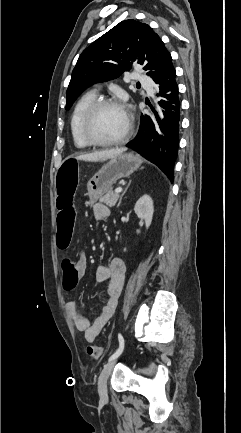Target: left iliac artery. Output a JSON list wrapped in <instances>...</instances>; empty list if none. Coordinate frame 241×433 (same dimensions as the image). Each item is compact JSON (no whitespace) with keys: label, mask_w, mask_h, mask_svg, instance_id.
<instances>
[{"label":"left iliac artery","mask_w":241,"mask_h":433,"mask_svg":"<svg viewBox=\"0 0 241 433\" xmlns=\"http://www.w3.org/2000/svg\"><path fill=\"white\" fill-rule=\"evenodd\" d=\"M118 341H119V348L117 349V351L109 358V361H111V360H113V359H115V358H117L122 352H123V349H124V345H125V342H124V338H123V336H122V334L121 333H118Z\"/></svg>","instance_id":"left-iliac-artery-1"}]
</instances>
